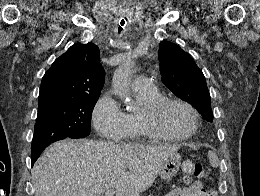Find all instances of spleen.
Returning <instances> with one entry per match:
<instances>
[{"label": "spleen", "mask_w": 260, "mask_h": 196, "mask_svg": "<svg viewBox=\"0 0 260 196\" xmlns=\"http://www.w3.org/2000/svg\"><path fill=\"white\" fill-rule=\"evenodd\" d=\"M208 158H209V162L212 166V168H218L219 166V160H218V156H216V154H214V152H208Z\"/></svg>", "instance_id": "1"}]
</instances>
